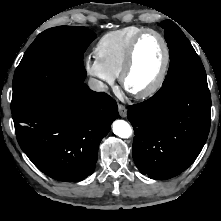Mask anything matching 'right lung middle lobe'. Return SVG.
I'll use <instances>...</instances> for the list:
<instances>
[{
  "label": "right lung middle lobe",
  "mask_w": 221,
  "mask_h": 221,
  "mask_svg": "<svg viewBox=\"0 0 221 221\" xmlns=\"http://www.w3.org/2000/svg\"><path fill=\"white\" fill-rule=\"evenodd\" d=\"M95 38L93 31L73 26L39 34L14 73L12 114L68 87V76L85 79L83 53Z\"/></svg>",
  "instance_id": "dd1d6c3e"
}]
</instances>
